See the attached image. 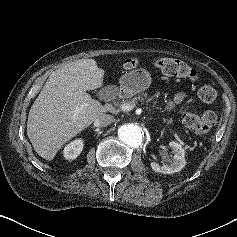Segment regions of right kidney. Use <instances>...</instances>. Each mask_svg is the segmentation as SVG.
<instances>
[{
    "instance_id": "obj_1",
    "label": "right kidney",
    "mask_w": 237,
    "mask_h": 237,
    "mask_svg": "<svg viewBox=\"0 0 237 237\" xmlns=\"http://www.w3.org/2000/svg\"><path fill=\"white\" fill-rule=\"evenodd\" d=\"M83 140L76 139L69 144H67L63 150L64 157L67 160H73L77 158L83 149Z\"/></svg>"
}]
</instances>
